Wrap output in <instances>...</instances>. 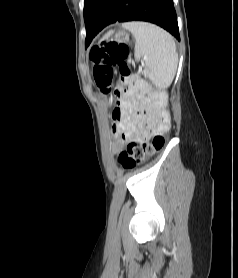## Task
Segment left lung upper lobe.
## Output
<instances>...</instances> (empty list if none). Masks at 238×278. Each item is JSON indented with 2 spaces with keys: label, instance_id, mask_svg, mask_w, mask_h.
I'll list each match as a JSON object with an SVG mask.
<instances>
[{
  "label": "left lung upper lobe",
  "instance_id": "5c2ea615",
  "mask_svg": "<svg viewBox=\"0 0 238 278\" xmlns=\"http://www.w3.org/2000/svg\"><path fill=\"white\" fill-rule=\"evenodd\" d=\"M103 0H85L84 2V21L86 24V30L88 29L91 19L96 11V9L98 8L99 4L102 2Z\"/></svg>",
  "mask_w": 238,
  "mask_h": 278
}]
</instances>
